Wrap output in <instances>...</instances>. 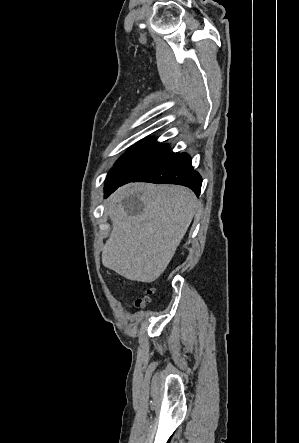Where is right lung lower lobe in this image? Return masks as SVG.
<instances>
[{
  "mask_svg": "<svg viewBox=\"0 0 299 443\" xmlns=\"http://www.w3.org/2000/svg\"><path fill=\"white\" fill-rule=\"evenodd\" d=\"M130 182L183 185L192 189V191L199 196L202 179L198 172L193 169L191 158L188 154H177L171 152L167 153L155 165L136 178L132 179ZM121 185H114L105 188V197H108Z\"/></svg>",
  "mask_w": 299,
  "mask_h": 443,
  "instance_id": "1",
  "label": "right lung lower lobe"
}]
</instances>
